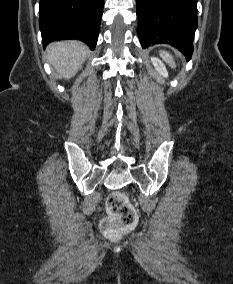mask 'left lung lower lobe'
<instances>
[{
  "label": "left lung lower lobe",
  "mask_w": 233,
  "mask_h": 284,
  "mask_svg": "<svg viewBox=\"0 0 233 284\" xmlns=\"http://www.w3.org/2000/svg\"><path fill=\"white\" fill-rule=\"evenodd\" d=\"M136 4L142 47L168 43L189 59L197 28V0H136Z\"/></svg>",
  "instance_id": "left-lung-lower-lobe-1"
}]
</instances>
